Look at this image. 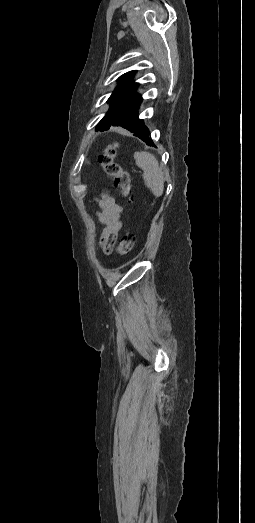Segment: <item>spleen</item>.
Listing matches in <instances>:
<instances>
[{
    "label": "spleen",
    "mask_w": 255,
    "mask_h": 523,
    "mask_svg": "<svg viewBox=\"0 0 255 523\" xmlns=\"http://www.w3.org/2000/svg\"><path fill=\"white\" fill-rule=\"evenodd\" d=\"M134 160L138 168H141L144 172L145 186L150 188L156 198L162 196L164 192L163 172H161L155 156H152L149 152H135Z\"/></svg>",
    "instance_id": "1"
}]
</instances>
